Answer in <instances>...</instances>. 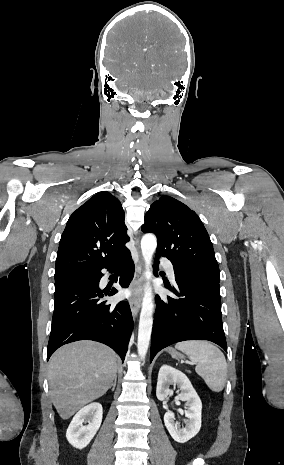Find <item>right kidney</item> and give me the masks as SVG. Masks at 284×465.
<instances>
[{
	"mask_svg": "<svg viewBox=\"0 0 284 465\" xmlns=\"http://www.w3.org/2000/svg\"><path fill=\"white\" fill-rule=\"evenodd\" d=\"M88 423V425H83ZM102 423V405L91 403L73 417L66 433L67 441L76 449H84L95 437Z\"/></svg>",
	"mask_w": 284,
	"mask_h": 465,
	"instance_id": "obj_1",
	"label": "right kidney"
}]
</instances>
